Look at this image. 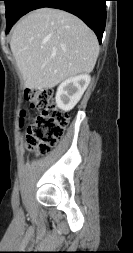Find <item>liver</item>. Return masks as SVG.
<instances>
[{"instance_id": "liver-1", "label": "liver", "mask_w": 133, "mask_h": 253, "mask_svg": "<svg viewBox=\"0 0 133 253\" xmlns=\"http://www.w3.org/2000/svg\"><path fill=\"white\" fill-rule=\"evenodd\" d=\"M10 47L29 89H50L90 73L100 49L96 35L83 21L52 8L34 10L20 19Z\"/></svg>"}]
</instances>
